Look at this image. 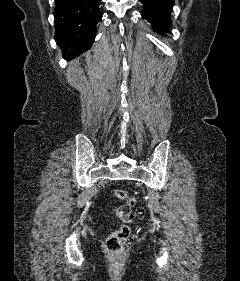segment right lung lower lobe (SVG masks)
Returning a JSON list of instances; mask_svg holds the SVG:
<instances>
[{"mask_svg":"<svg viewBox=\"0 0 240 281\" xmlns=\"http://www.w3.org/2000/svg\"><path fill=\"white\" fill-rule=\"evenodd\" d=\"M56 43L73 59L89 49L101 20V0H55Z\"/></svg>","mask_w":240,"mask_h":281,"instance_id":"98d812e1","label":"right lung lower lobe"}]
</instances>
